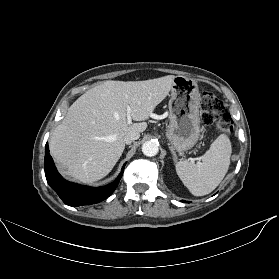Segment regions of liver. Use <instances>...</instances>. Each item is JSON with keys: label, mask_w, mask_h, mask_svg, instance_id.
<instances>
[{"label": "liver", "mask_w": 279, "mask_h": 279, "mask_svg": "<svg viewBox=\"0 0 279 279\" xmlns=\"http://www.w3.org/2000/svg\"><path fill=\"white\" fill-rule=\"evenodd\" d=\"M174 75L146 81H106L85 92L52 133L50 153L62 172L93 183L113 169L130 131L143 132L155 107L168 95ZM127 107L131 118L127 122Z\"/></svg>", "instance_id": "1"}]
</instances>
